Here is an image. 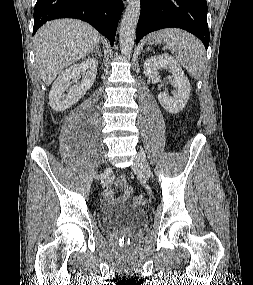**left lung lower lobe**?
I'll list each match as a JSON object with an SVG mask.
<instances>
[{
	"instance_id": "left-lung-lower-lobe-1",
	"label": "left lung lower lobe",
	"mask_w": 253,
	"mask_h": 285,
	"mask_svg": "<svg viewBox=\"0 0 253 285\" xmlns=\"http://www.w3.org/2000/svg\"><path fill=\"white\" fill-rule=\"evenodd\" d=\"M167 27L191 32L207 49L210 35L206 0H141L136 44L146 34Z\"/></svg>"
}]
</instances>
